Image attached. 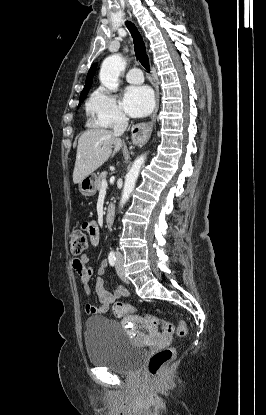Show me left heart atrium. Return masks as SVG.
I'll list each match as a JSON object with an SVG mask.
<instances>
[{"instance_id":"39dd6f15","label":"left heart atrium","mask_w":266,"mask_h":415,"mask_svg":"<svg viewBox=\"0 0 266 415\" xmlns=\"http://www.w3.org/2000/svg\"><path fill=\"white\" fill-rule=\"evenodd\" d=\"M122 104L126 112L131 116H145L153 108V93L146 86L129 87L124 94Z\"/></svg>"}]
</instances>
